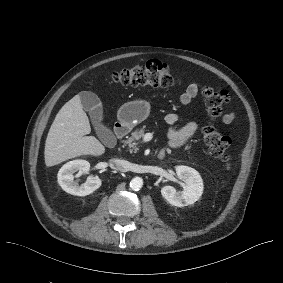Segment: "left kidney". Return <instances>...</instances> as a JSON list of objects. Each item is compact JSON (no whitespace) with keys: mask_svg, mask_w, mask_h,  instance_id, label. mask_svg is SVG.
<instances>
[{"mask_svg":"<svg viewBox=\"0 0 283 283\" xmlns=\"http://www.w3.org/2000/svg\"><path fill=\"white\" fill-rule=\"evenodd\" d=\"M177 177L182 180L183 191L178 192L172 186L161 189L162 196L173 206L183 207L195 203L203 193V181L198 171L188 166L175 167Z\"/></svg>","mask_w":283,"mask_h":283,"instance_id":"5707ae66","label":"left kidney"}]
</instances>
